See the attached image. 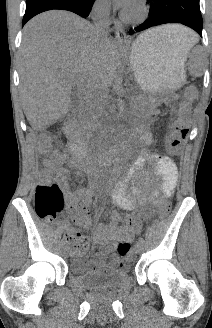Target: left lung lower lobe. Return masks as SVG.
<instances>
[{"instance_id":"1","label":"left lung lower lobe","mask_w":212,"mask_h":328,"mask_svg":"<svg viewBox=\"0 0 212 328\" xmlns=\"http://www.w3.org/2000/svg\"><path fill=\"white\" fill-rule=\"evenodd\" d=\"M147 3L150 5L148 19L130 30V34L161 24L181 23L202 36L199 0H147Z\"/></svg>"}]
</instances>
